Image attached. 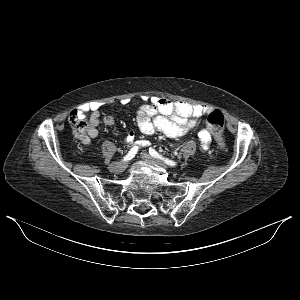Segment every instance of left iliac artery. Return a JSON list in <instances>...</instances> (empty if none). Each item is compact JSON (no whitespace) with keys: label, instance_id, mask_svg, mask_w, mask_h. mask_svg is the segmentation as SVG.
<instances>
[{"label":"left iliac artery","instance_id":"1","mask_svg":"<svg viewBox=\"0 0 300 300\" xmlns=\"http://www.w3.org/2000/svg\"><path fill=\"white\" fill-rule=\"evenodd\" d=\"M149 153L151 156L163 161L165 164L169 165V166H176V162L163 157L162 155H160L154 148H149Z\"/></svg>","mask_w":300,"mask_h":300}]
</instances>
